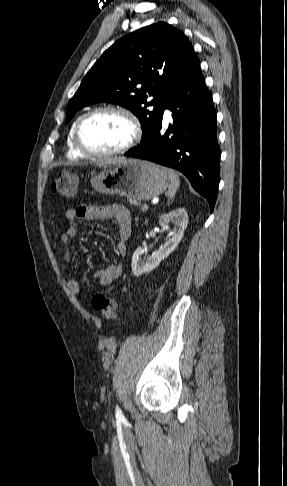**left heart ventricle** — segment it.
I'll return each instance as SVG.
<instances>
[{
  "label": "left heart ventricle",
  "instance_id": "left-heart-ventricle-1",
  "mask_svg": "<svg viewBox=\"0 0 287 486\" xmlns=\"http://www.w3.org/2000/svg\"><path fill=\"white\" fill-rule=\"evenodd\" d=\"M131 136L129 122L116 113L96 115L81 130L83 144L90 150L105 152L123 146Z\"/></svg>",
  "mask_w": 287,
  "mask_h": 486
}]
</instances>
